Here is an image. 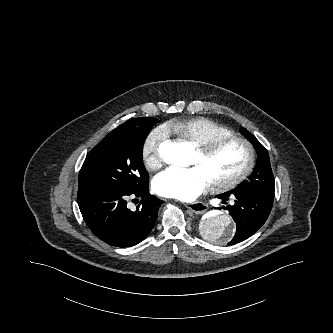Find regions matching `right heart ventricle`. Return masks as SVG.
<instances>
[{"mask_svg":"<svg viewBox=\"0 0 333 333\" xmlns=\"http://www.w3.org/2000/svg\"><path fill=\"white\" fill-rule=\"evenodd\" d=\"M165 129L176 139L196 146L233 134L226 126L202 117L173 119L165 125Z\"/></svg>","mask_w":333,"mask_h":333,"instance_id":"e07e8e85","label":"right heart ventricle"}]
</instances>
